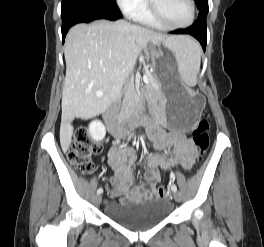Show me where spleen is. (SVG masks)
<instances>
[{
	"mask_svg": "<svg viewBox=\"0 0 264 247\" xmlns=\"http://www.w3.org/2000/svg\"><path fill=\"white\" fill-rule=\"evenodd\" d=\"M175 54L178 71L188 86H195L200 71L201 49L199 44L186 36H179L171 46Z\"/></svg>",
	"mask_w": 264,
	"mask_h": 247,
	"instance_id": "3e777b00",
	"label": "spleen"
}]
</instances>
